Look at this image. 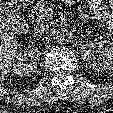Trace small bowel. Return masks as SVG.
I'll return each mask as SVG.
<instances>
[{
	"instance_id": "1",
	"label": "small bowel",
	"mask_w": 113,
	"mask_h": 113,
	"mask_svg": "<svg viewBox=\"0 0 113 113\" xmlns=\"http://www.w3.org/2000/svg\"><path fill=\"white\" fill-rule=\"evenodd\" d=\"M69 1V0H67ZM89 6L94 10L95 15L98 19L103 21L113 32V0H107L108 3L104 4L102 0H86ZM81 18L86 20L87 14H82Z\"/></svg>"
}]
</instances>
